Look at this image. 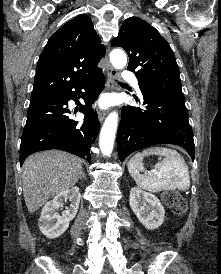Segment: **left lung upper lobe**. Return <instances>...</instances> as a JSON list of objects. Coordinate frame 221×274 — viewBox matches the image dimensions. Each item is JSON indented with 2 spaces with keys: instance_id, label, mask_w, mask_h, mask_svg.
Listing matches in <instances>:
<instances>
[{
  "instance_id": "obj_1",
  "label": "left lung upper lobe",
  "mask_w": 221,
  "mask_h": 274,
  "mask_svg": "<svg viewBox=\"0 0 221 274\" xmlns=\"http://www.w3.org/2000/svg\"><path fill=\"white\" fill-rule=\"evenodd\" d=\"M111 45L128 53L127 68L135 73L142 93L184 98L173 51L149 23L137 17L127 18Z\"/></svg>"
}]
</instances>
